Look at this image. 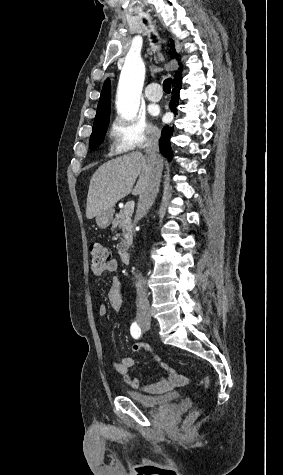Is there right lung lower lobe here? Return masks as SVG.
Wrapping results in <instances>:
<instances>
[{
    "label": "right lung lower lobe",
    "mask_w": 283,
    "mask_h": 475,
    "mask_svg": "<svg viewBox=\"0 0 283 475\" xmlns=\"http://www.w3.org/2000/svg\"><path fill=\"white\" fill-rule=\"evenodd\" d=\"M181 79H182V76L181 74H179L174 78L173 83H172L173 96L170 102V109L173 110L175 114H177L176 107L178 106V102H179L178 93L181 89ZM173 131H174L173 127H169V126L163 127L161 139L159 142L161 153L163 154L164 157L168 158L169 161L172 159V155H173L171 151V144H170V137L172 136Z\"/></svg>",
    "instance_id": "obj_1"
}]
</instances>
